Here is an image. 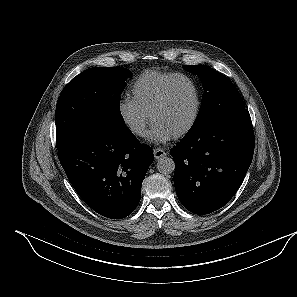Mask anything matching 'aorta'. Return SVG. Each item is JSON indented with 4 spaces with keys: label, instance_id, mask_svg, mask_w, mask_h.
<instances>
[{
    "label": "aorta",
    "instance_id": "1",
    "mask_svg": "<svg viewBox=\"0 0 297 297\" xmlns=\"http://www.w3.org/2000/svg\"><path fill=\"white\" fill-rule=\"evenodd\" d=\"M157 170L162 174H171L175 170V163L172 158L162 156L157 161Z\"/></svg>",
    "mask_w": 297,
    "mask_h": 297
}]
</instances>
